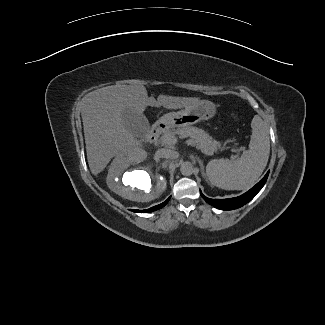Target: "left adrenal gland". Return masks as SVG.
<instances>
[{
    "instance_id": "obj_1",
    "label": "left adrenal gland",
    "mask_w": 325,
    "mask_h": 325,
    "mask_svg": "<svg viewBox=\"0 0 325 325\" xmlns=\"http://www.w3.org/2000/svg\"><path fill=\"white\" fill-rule=\"evenodd\" d=\"M197 161H198V163L200 165L203 178H205L206 182L209 183L208 182V179L206 178V174L204 172V164H203V161L199 157H197Z\"/></svg>"
}]
</instances>
